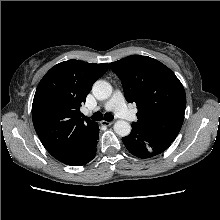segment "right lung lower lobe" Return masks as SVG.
<instances>
[{
  "label": "right lung lower lobe",
  "instance_id": "1",
  "mask_svg": "<svg viewBox=\"0 0 220 220\" xmlns=\"http://www.w3.org/2000/svg\"><path fill=\"white\" fill-rule=\"evenodd\" d=\"M99 129L66 159L60 161L71 166H81L90 162L96 155Z\"/></svg>",
  "mask_w": 220,
  "mask_h": 220
}]
</instances>
